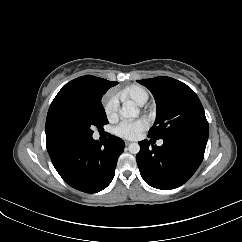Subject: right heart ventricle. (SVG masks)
<instances>
[{
  "instance_id": "right-heart-ventricle-1",
  "label": "right heart ventricle",
  "mask_w": 242,
  "mask_h": 242,
  "mask_svg": "<svg viewBox=\"0 0 242 242\" xmlns=\"http://www.w3.org/2000/svg\"><path fill=\"white\" fill-rule=\"evenodd\" d=\"M119 96L122 99L132 101L136 105L142 106L144 105L149 99L148 91L139 85H131L125 89H123Z\"/></svg>"
}]
</instances>
